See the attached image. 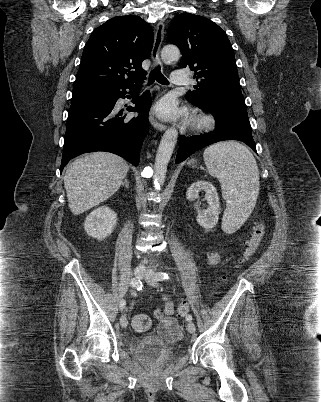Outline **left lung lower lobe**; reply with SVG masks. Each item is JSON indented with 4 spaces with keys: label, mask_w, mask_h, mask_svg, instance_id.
<instances>
[{
    "label": "left lung lower lobe",
    "mask_w": 321,
    "mask_h": 402,
    "mask_svg": "<svg viewBox=\"0 0 321 402\" xmlns=\"http://www.w3.org/2000/svg\"><path fill=\"white\" fill-rule=\"evenodd\" d=\"M202 109L211 112L215 117V131L186 137L178 149L177 164L194 152L223 140L242 141L256 152L243 95L217 96Z\"/></svg>",
    "instance_id": "0a47b994"
}]
</instances>
